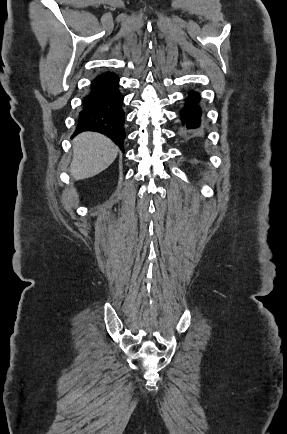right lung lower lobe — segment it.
<instances>
[{"mask_svg":"<svg viewBox=\"0 0 287 434\" xmlns=\"http://www.w3.org/2000/svg\"><path fill=\"white\" fill-rule=\"evenodd\" d=\"M122 106L119 77L111 72L100 74L83 100L75 134L83 131L100 132L123 149L125 115Z\"/></svg>","mask_w":287,"mask_h":434,"instance_id":"right-lung-lower-lobe-1","label":"right lung lower lobe"}]
</instances>
